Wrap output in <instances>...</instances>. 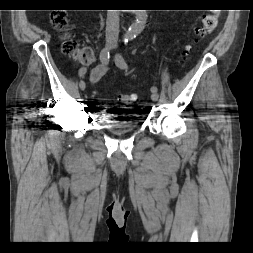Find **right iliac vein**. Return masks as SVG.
Instances as JSON below:
<instances>
[{"mask_svg": "<svg viewBox=\"0 0 253 253\" xmlns=\"http://www.w3.org/2000/svg\"><path fill=\"white\" fill-rule=\"evenodd\" d=\"M112 44H113V38H107L106 39V46L107 47H111L112 46ZM79 87H80V89L83 91V90H85V88H86V84H85V82L83 81V80H81L80 82H79Z\"/></svg>", "mask_w": 253, "mask_h": 253, "instance_id": "1", "label": "right iliac vein"}]
</instances>
